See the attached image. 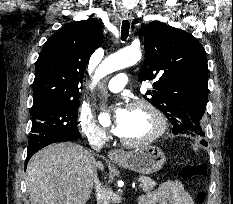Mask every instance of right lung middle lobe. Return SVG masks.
Returning a JSON list of instances; mask_svg holds the SVG:
<instances>
[{
  "label": "right lung middle lobe",
  "mask_w": 233,
  "mask_h": 204,
  "mask_svg": "<svg viewBox=\"0 0 233 204\" xmlns=\"http://www.w3.org/2000/svg\"><path fill=\"white\" fill-rule=\"evenodd\" d=\"M79 100L53 102L32 107V128L28 151H38L67 137H80L77 129Z\"/></svg>",
  "instance_id": "obj_1"
}]
</instances>
